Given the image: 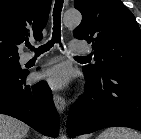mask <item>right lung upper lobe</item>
<instances>
[{"label": "right lung upper lobe", "mask_w": 141, "mask_h": 139, "mask_svg": "<svg viewBox=\"0 0 141 139\" xmlns=\"http://www.w3.org/2000/svg\"><path fill=\"white\" fill-rule=\"evenodd\" d=\"M52 0H0V56L19 57L18 45L43 37Z\"/></svg>", "instance_id": "cb5924a9"}]
</instances>
